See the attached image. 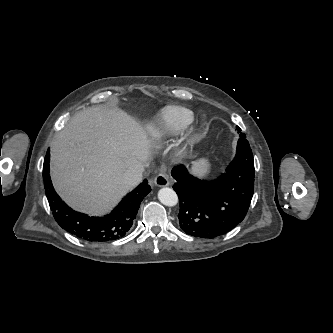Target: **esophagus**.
Here are the masks:
<instances>
[{
	"instance_id": "obj_1",
	"label": "esophagus",
	"mask_w": 333,
	"mask_h": 333,
	"mask_svg": "<svg viewBox=\"0 0 333 333\" xmlns=\"http://www.w3.org/2000/svg\"><path fill=\"white\" fill-rule=\"evenodd\" d=\"M154 183L158 187H165L169 186L170 182L167 178V176L163 173H159L155 178H154Z\"/></svg>"
}]
</instances>
